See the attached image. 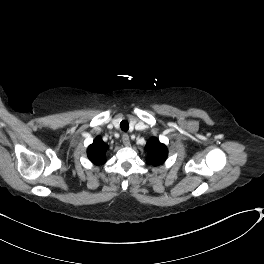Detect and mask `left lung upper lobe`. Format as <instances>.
I'll return each instance as SVG.
<instances>
[{
  "mask_svg": "<svg viewBox=\"0 0 264 264\" xmlns=\"http://www.w3.org/2000/svg\"><path fill=\"white\" fill-rule=\"evenodd\" d=\"M145 149L148 151L147 162L154 166L161 165L168 156L166 146L160 143L156 138H151L147 142Z\"/></svg>",
  "mask_w": 264,
  "mask_h": 264,
  "instance_id": "5c2ea615",
  "label": "left lung upper lobe"
}]
</instances>
